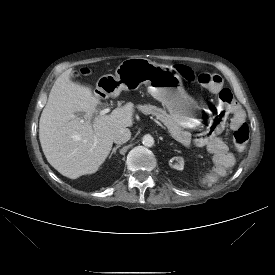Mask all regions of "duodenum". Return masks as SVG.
<instances>
[{
  "label": "duodenum",
  "instance_id": "1",
  "mask_svg": "<svg viewBox=\"0 0 275 275\" xmlns=\"http://www.w3.org/2000/svg\"><path fill=\"white\" fill-rule=\"evenodd\" d=\"M96 94H99L100 97H106V92L101 91V89H96Z\"/></svg>",
  "mask_w": 275,
  "mask_h": 275
}]
</instances>
